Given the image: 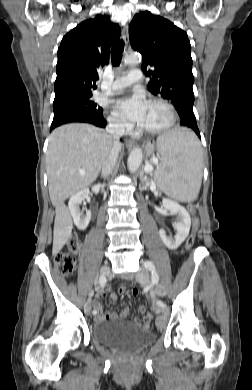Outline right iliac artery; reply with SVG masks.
Masks as SVG:
<instances>
[{"instance_id": "obj_1", "label": "right iliac artery", "mask_w": 252, "mask_h": 390, "mask_svg": "<svg viewBox=\"0 0 252 390\" xmlns=\"http://www.w3.org/2000/svg\"><path fill=\"white\" fill-rule=\"evenodd\" d=\"M105 283H106V277L104 276V274H101V277H100V286L101 287H104L105 286ZM93 315L94 316H97L98 315V312L96 310H93Z\"/></svg>"}]
</instances>
